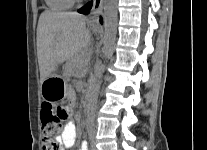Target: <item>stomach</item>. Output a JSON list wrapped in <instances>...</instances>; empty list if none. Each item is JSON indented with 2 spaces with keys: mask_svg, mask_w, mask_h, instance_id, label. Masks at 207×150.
<instances>
[{
  "mask_svg": "<svg viewBox=\"0 0 207 150\" xmlns=\"http://www.w3.org/2000/svg\"><path fill=\"white\" fill-rule=\"evenodd\" d=\"M41 93L44 99L55 101L68 97L70 95V87L64 78L53 73L42 82Z\"/></svg>",
  "mask_w": 207,
  "mask_h": 150,
  "instance_id": "stomach-1",
  "label": "stomach"
}]
</instances>
